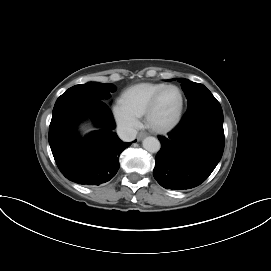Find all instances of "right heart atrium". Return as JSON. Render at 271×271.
<instances>
[{
	"label": "right heart atrium",
	"mask_w": 271,
	"mask_h": 271,
	"mask_svg": "<svg viewBox=\"0 0 271 271\" xmlns=\"http://www.w3.org/2000/svg\"><path fill=\"white\" fill-rule=\"evenodd\" d=\"M113 116L119 128L127 135L134 134L140 126L139 118L118 101L113 106Z\"/></svg>",
	"instance_id": "d8ad5b80"
}]
</instances>
